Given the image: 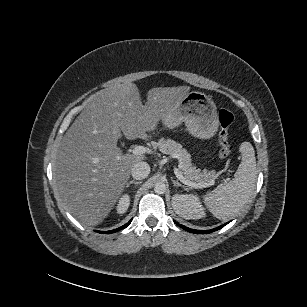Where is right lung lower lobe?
<instances>
[{"label":"right lung lower lobe","mask_w":307,"mask_h":307,"mask_svg":"<svg viewBox=\"0 0 307 307\" xmlns=\"http://www.w3.org/2000/svg\"><path fill=\"white\" fill-rule=\"evenodd\" d=\"M130 222H131V220H130L127 224H125V225H123L122 227L117 228V229H115V230H111V231H98V232H99V233H103V234L114 233V232H116V231H119V230H121V229L126 228V227L130 224Z\"/></svg>","instance_id":"98d812e1"}]
</instances>
